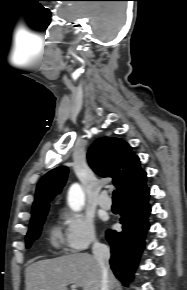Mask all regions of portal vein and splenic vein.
Instances as JSON below:
<instances>
[{
    "instance_id": "18ae733b",
    "label": "portal vein and splenic vein",
    "mask_w": 187,
    "mask_h": 290,
    "mask_svg": "<svg viewBox=\"0 0 187 290\" xmlns=\"http://www.w3.org/2000/svg\"><path fill=\"white\" fill-rule=\"evenodd\" d=\"M76 287H77V285H75V284L71 285L72 290H75Z\"/></svg>"
}]
</instances>
